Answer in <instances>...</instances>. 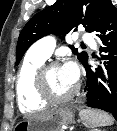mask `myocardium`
I'll use <instances>...</instances> for the list:
<instances>
[{"mask_svg":"<svg viewBox=\"0 0 117 131\" xmlns=\"http://www.w3.org/2000/svg\"><path fill=\"white\" fill-rule=\"evenodd\" d=\"M59 67V63L57 62H49L46 64H43L37 71L36 74V90L38 95L40 96L41 99L46 101L47 103H65L70 100H72L79 92V84H76L74 89L64 95V96H57L53 94L48 86L47 80H46V73L48 70L52 68Z\"/></svg>","mask_w":117,"mask_h":131,"instance_id":"1","label":"myocardium"}]
</instances>
